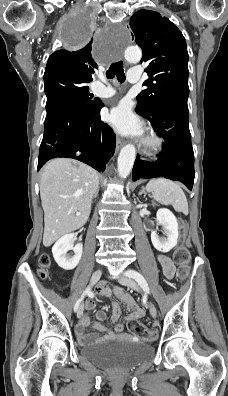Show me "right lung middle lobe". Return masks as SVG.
<instances>
[{"instance_id":"obj_1","label":"right lung middle lobe","mask_w":228,"mask_h":396,"mask_svg":"<svg viewBox=\"0 0 228 396\" xmlns=\"http://www.w3.org/2000/svg\"><path fill=\"white\" fill-rule=\"evenodd\" d=\"M76 24H79L81 29L78 36L72 39V42L80 45L91 37L94 31V24L81 18L76 19ZM89 82V80L74 75L44 77L47 116L67 107H92L96 102L92 100L93 94L88 91L87 84Z\"/></svg>"}]
</instances>
